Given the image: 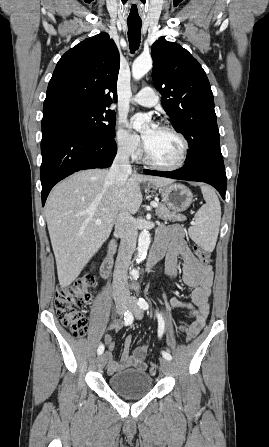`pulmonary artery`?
I'll use <instances>...</instances> for the list:
<instances>
[{
  "mask_svg": "<svg viewBox=\"0 0 269 447\" xmlns=\"http://www.w3.org/2000/svg\"><path fill=\"white\" fill-rule=\"evenodd\" d=\"M131 101L145 107H155L159 103V95L154 89L144 87L131 98Z\"/></svg>",
  "mask_w": 269,
  "mask_h": 447,
  "instance_id": "1",
  "label": "pulmonary artery"
}]
</instances>
